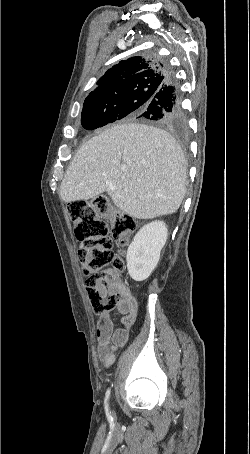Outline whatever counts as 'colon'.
Instances as JSON below:
<instances>
[{
  "instance_id": "5ec220e1",
  "label": "colon",
  "mask_w": 250,
  "mask_h": 454,
  "mask_svg": "<svg viewBox=\"0 0 250 454\" xmlns=\"http://www.w3.org/2000/svg\"><path fill=\"white\" fill-rule=\"evenodd\" d=\"M79 242L78 258L86 277V291L96 313L115 308L120 298L124 260L113 243L124 246L135 230L131 216L115 209L106 196L72 201L67 206Z\"/></svg>"
}]
</instances>
